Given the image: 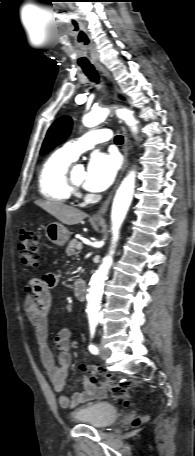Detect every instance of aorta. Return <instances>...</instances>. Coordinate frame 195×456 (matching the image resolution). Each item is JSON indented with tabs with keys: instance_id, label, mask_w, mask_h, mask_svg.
<instances>
[{
	"instance_id": "aorta-1",
	"label": "aorta",
	"mask_w": 195,
	"mask_h": 456,
	"mask_svg": "<svg viewBox=\"0 0 195 456\" xmlns=\"http://www.w3.org/2000/svg\"><path fill=\"white\" fill-rule=\"evenodd\" d=\"M109 112L110 110L108 108L94 109L83 117V124L86 127H94L104 121ZM117 115L126 122L133 133H137V120L134 118L132 111L125 108L118 109ZM135 181L136 172L132 170L122 180L113 200L111 211L112 240L110 251L109 254L104 257L99 269L92 276L90 282L91 286L87 295L88 305L86 312L90 319L95 318L101 308L104 282L107 279L109 269L112 265V256L115 252L116 243L119 239L122 223L126 217L127 211L133 198Z\"/></svg>"
}]
</instances>
